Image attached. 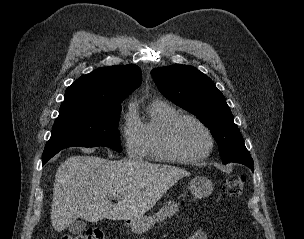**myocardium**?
<instances>
[{"label":"myocardium","instance_id":"1","mask_svg":"<svg viewBox=\"0 0 304 239\" xmlns=\"http://www.w3.org/2000/svg\"><path fill=\"white\" fill-rule=\"evenodd\" d=\"M183 120H191L198 124L206 134L208 144L206 149L197 155H185L178 151L174 145L173 135L177 125ZM214 137L210 128L199 117L189 113H179L171 118L165 125L161 136V149L168 161L179 163H196L206 159L214 148Z\"/></svg>","mask_w":304,"mask_h":239}]
</instances>
